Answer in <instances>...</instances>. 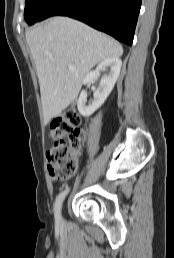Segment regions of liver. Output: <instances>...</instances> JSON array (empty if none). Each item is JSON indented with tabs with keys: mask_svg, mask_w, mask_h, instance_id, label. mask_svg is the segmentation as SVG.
<instances>
[{
	"mask_svg": "<svg viewBox=\"0 0 174 258\" xmlns=\"http://www.w3.org/2000/svg\"><path fill=\"white\" fill-rule=\"evenodd\" d=\"M26 40L36 65L45 123L77 97L92 67L123 54L117 41L68 17L36 26L26 32ZM69 65L75 69L69 70Z\"/></svg>",
	"mask_w": 174,
	"mask_h": 258,
	"instance_id": "1",
	"label": "liver"
}]
</instances>
